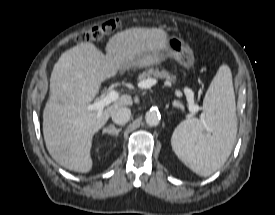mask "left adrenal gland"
Segmentation results:
<instances>
[{
    "label": "left adrenal gland",
    "mask_w": 275,
    "mask_h": 215,
    "mask_svg": "<svg viewBox=\"0 0 275 215\" xmlns=\"http://www.w3.org/2000/svg\"><path fill=\"white\" fill-rule=\"evenodd\" d=\"M173 107L180 108L181 110L183 109L182 104L180 102H178V101H174L173 102Z\"/></svg>",
    "instance_id": "a2214340"
}]
</instances>
